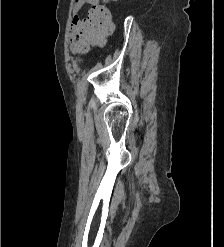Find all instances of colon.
<instances>
[{
    "instance_id": "obj_1",
    "label": "colon",
    "mask_w": 224,
    "mask_h": 247,
    "mask_svg": "<svg viewBox=\"0 0 224 247\" xmlns=\"http://www.w3.org/2000/svg\"><path fill=\"white\" fill-rule=\"evenodd\" d=\"M113 29L112 16L104 5H97L90 9L79 33V40L83 48L99 43Z\"/></svg>"
}]
</instances>
